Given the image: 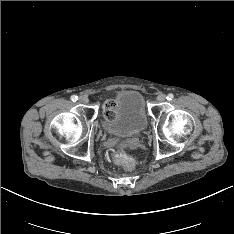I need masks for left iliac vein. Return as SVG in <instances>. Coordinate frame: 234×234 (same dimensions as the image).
I'll use <instances>...</instances> for the list:
<instances>
[{
    "label": "left iliac vein",
    "instance_id": "obj_1",
    "mask_svg": "<svg viewBox=\"0 0 234 234\" xmlns=\"http://www.w3.org/2000/svg\"><path fill=\"white\" fill-rule=\"evenodd\" d=\"M166 100V95L165 94H159L158 96H157V101L158 102H163V101H165Z\"/></svg>",
    "mask_w": 234,
    "mask_h": 234
}]
</instances>
